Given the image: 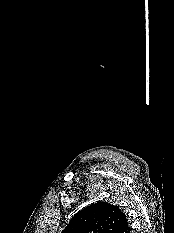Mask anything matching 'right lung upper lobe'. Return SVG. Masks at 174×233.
Returning <instances> with one entry per match:
<instances>
[{
    "mask_svg": "<svg viewBox=\"0 0 174 233\" xmlns=\"http://www.w3.org/2000/svg\"><path fill=\"white\" fill-rule=\"evenodd\" d=\"M61 233H130V227L119 207L101 201L76 213Z\"/></svg>",
    "mask_w": 174,
    "mask_h": 233,
    "instance_id": "right-lung-upper-lobe-1",
    "label": "right lung upper lobe"
}]
</instances>
